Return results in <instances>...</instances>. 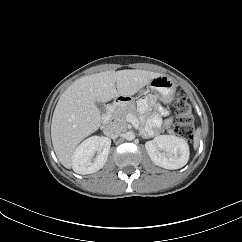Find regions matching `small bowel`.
I'll return each mask as SVG.
<instances>
[{"label": "small bowel", "instance_id": "c3829d8e", "mask_svg": "<svg viewBox=\"0 0 242 242\" xmlns=\"http://www.w3.org/2000/svg\"><path fill=\"white\" fill-rule=\"evenodd\" d=\"M139 111L141 114H145L148 111V104L146 101L142 102L139 105ZM169 112L159 107L155 113L150 115L147 120V129L149 133L155 134L162 126H168L171 123V119L167 118L164 122H162L161 117L168 116Z\"/></svg>", "mask_w": 242, "mask_h": 242}]
</instances>
